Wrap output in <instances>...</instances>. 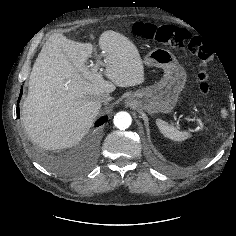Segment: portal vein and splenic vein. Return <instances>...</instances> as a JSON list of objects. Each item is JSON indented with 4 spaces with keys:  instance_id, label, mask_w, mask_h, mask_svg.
<instances>
[{
    "instance_id": "obj_1",
    "label": "portal vein and splenic vein",
    "mask_w": 236,
    "mask_h": 236,
    "mask_svg": "<svg viewBox=\"0 0 236 236\" xmlns=\"http://www.w3.org/2000/svg\"><path fill=\"white\" fill-rule=\"evenodd\" d=\"M97 61H98L99 64H101V62L99 60H97ZM90 66L93 67L94 64H91ZM196 120H197V122L199 123L200 126H203V123L199 118H196Z\"/></svg>"
}]
</instances>
